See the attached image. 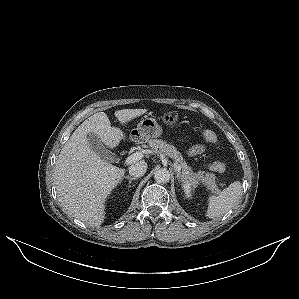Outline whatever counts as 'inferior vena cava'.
Instances as JSON below:
<instances>
[{
    "label": "inferior vena cava",
    "instance_id": "inferior-vena-cava-1",
    "mask_svg": "<svg viewBox=\"0 0 299 299\" xmlns=\"http://www.w3.org/2000/svg\"><path fill=\"white\" fill-rule=\"evenodd\" d=\"M146 170H147V163L144 161L134 163L129 167L130 175L136 178L142 177L146 173Z\"/></svg>",
    "mask_w": 299,
    "mask_h": 299
}]
</instances>
